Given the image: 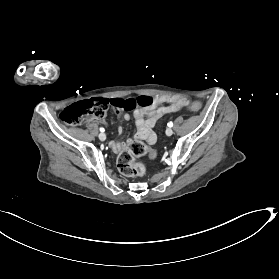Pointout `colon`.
<instances>
[{"mask_svg":"<svg viewBox=\"0 0 279 279\" xmlns=\"http://www.w3.org/2000/svg\"><path fill=\"white\" fill-rule=\"evenodd\" d=\"M154 105L155 98L145 95L128 99L96 98L80 101L66 107L61 112L60 118L63 122L69 125H78L90 118L104 117L111 107L115 109L131 111L138 107L151 108ZM201 108V103L197 101H194L189 105V109L194 112L200 111ZM146 153H148L151 157L157 156V152L147 148L144 143L140 141L131 142L118 157V167L120 171L127 176H143L146 172V166L144 163L138 161L137 158L143 156Z\"/></svg>","mask_w":279,"mask_h":279,"instance_id":"obj_1","label":"colon"}]
</instances>
